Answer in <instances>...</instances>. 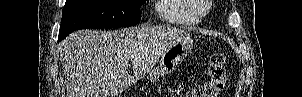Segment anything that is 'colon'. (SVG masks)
Masks as SVG:
<instances>
[{"label":"colon","instance_id":"5ec220e1","mask_svg":"<svg viewBox=\"0 0 302 97\" xmlns=\"http://www.w3.org/2000/svg\"><path fill=\"white\" fill-rule=\"evenodd\" d=\"M227 56L223 52H215L210 57L208 66L209 80L193 88L188 97H217L226 83L225 65Z\"/></svg>","mask_w":302,"mask_h":97}]
</instances>
